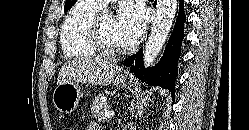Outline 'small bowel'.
I'll return each instance as SVG.
<instances>
[{
    "mask_svg": "<svg viewBox=\"0 0 249 130\" xmlns=\"http://www.w3.org/2000/svg\"><path fill=\"white\" fill-rule=\"evenodd\" d=\"M86 130H101V128L96 123H91Z\"/></svg>",
    "mask_w": 249,
    "mask_h": 130,
    "instance_id": "c3829d8e",
    "label": "small bowel"
}]
</instances>
